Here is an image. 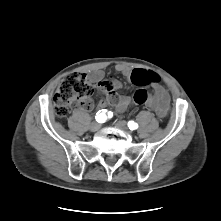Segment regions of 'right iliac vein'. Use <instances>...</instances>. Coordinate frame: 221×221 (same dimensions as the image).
<instances>
[{
  "label": "right iliac vein",
  "instance_id": "63e3f726",
  "mask_svg": "<svg viewBox=\"0 0 221 221\" xmlns=\"http://www.w3.org/2000/svg\"><path fill=\"white\" fill-rule=\"evenodd\" d=\"M100 127H101V125H100L98 122H92V123L90 124L89 129H90V131H92V132H96V131H98V130L100 129Z\"/></svg>",
  "mask_w": 221,
  "mask_h": 221
}]
</instances>
